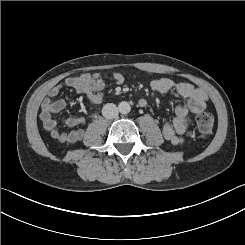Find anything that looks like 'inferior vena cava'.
<instances>
[{"label":"inferior vena cava","instance_id":"602c4592","mask_svg":"<svg viewBox=\"0 0 245 245\" xmlns=\"http://www.w3.org/2000/svg\"><path fill=\"white\" fill-rule=\"evenodd\" d=\"M118 113H119L118 108L113 103H107L103 106L102 115L106 119H114L118 116Z\"/></svg>","mask_w":245,"mask_h":245}]
</instances>
